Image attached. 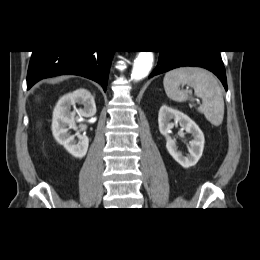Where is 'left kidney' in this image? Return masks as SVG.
<instances>
[{
	"instance_id": "1",
	"label": "left kidney",
	"mask_w": 260,
	"mask_h": 260,
	"mask_svg": "<svg viewBox=\"0 0 260 260\" xmlns=\"http://www.w3.org/2000/svg\"><path fill=\"white\" fill-rule=\"evenodd\" d=\"M178 123L193 137L190 141L189 154L186 156L178 150L176 141L170 137L171 129ZM158 124L160 133L166 138V148L175 161L184 168L196 165L202 156L205 142L203 132L198 125L181 111L166 105H163L159 110Z\"/></svg>"
}]
</instances>
